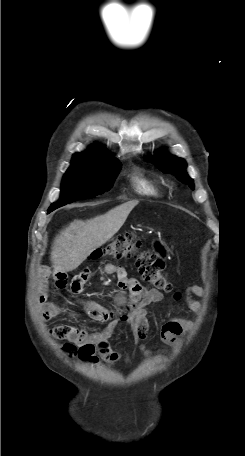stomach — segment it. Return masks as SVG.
Returning a JSON list of instances; mask_svg holds the SVG:
<instances>
[{
	"label": "stomach",
	"instance_id": "stomach-1",
	"mask_svg": "<svg viewBox=\"0 0 245 456\" xmlns=\"http://www.w3.org/2000/svg\"><path fill=\"white\" fill-rule=\"evenodd\" d=\"M155 251L159 254L162 255L164 252L163 246L161 244L155 245Z\"/></svg>",
	"mask_w": 245,
	"mask_h": 456
}]
</instances>
